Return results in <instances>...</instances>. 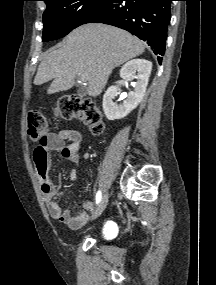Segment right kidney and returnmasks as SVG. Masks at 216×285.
<instances>
[{"instance_id": "ca27d5eb", "label": "right kidney", "mask_w": 216, "mask_h": 285, "mask_svg": "<svg viewBox=\"0 0 216 285\" xmlns=\"http://www.w3.org/2000/svg\"><path fill=\"white\" fill-rule=\"evenodd\" d=\"M151 70L152 63L145 59H133L123 65L120 70L121 78L126 81L137 79V82L122 104L113 102L119 94V87L114 85L107 89L103 96V110L109 120L122 119L138 106L145 94Z\"/></svg>"}]
</instances>
